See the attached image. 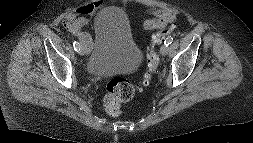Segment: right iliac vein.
Returning <instances> with one entry per match:
<instances>
[{"mask_svg": "<svg viewBox=\"0 0 253 143\" xmlns=\"http://www.w3.org/2000/svg\"><path fill=\"white\" fill-rule=\"evenodd\" d=\"M78 52L80 55H85L88 52V48L84 44H81Z\"/></svg>", "mask_w": 253, "mask_h": 143, "instance_id": "right-iliac-vein-1", "label": "right iliac vein"}]
</instances>
